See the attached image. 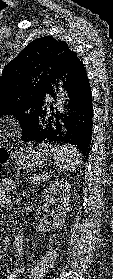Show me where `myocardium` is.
Here are the masks:
<instances>
[{
    "instance_id": "f54148a6",
    "label": "myocardium",
    "mask_w": 113,
    "mask_h": 279,
    "mask_svg": "<svg viewBox=\"0 0 113 279\" xmlns=\"http://www.w3.org/2000/svg\"><path fill=\"white\" fill-rule=\"evenodd\" d=\"M17 124L15 120L11 117H5L0 119V134L6 132L7 130L16 127Z\"/></svg>"
}]
</instances>
